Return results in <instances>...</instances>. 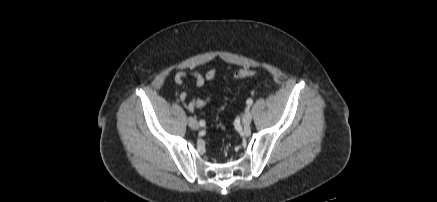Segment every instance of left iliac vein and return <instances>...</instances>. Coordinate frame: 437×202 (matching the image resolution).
<instances>
[{"mask_svg": "<svg viewBox=\"0 0 437 202\" xmlns=\"http://www.w3.org/2000/svg\"><path fill=\"white\" fill-rule=\"evenodd\" d=\"M251 121H252V114L249 111H247L243 115L242 123H243L244 126H248V125H250Z\"/></svg>", "mask_w": 437, "mask_h": 202, "instance_id": "obj_1", "label": "left iliac vein"}]
</instances>
